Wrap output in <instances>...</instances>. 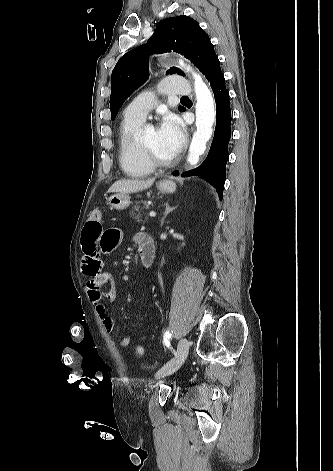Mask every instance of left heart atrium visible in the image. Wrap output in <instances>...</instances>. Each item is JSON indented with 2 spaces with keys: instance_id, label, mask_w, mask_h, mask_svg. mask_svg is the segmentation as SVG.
Masks as SVG:
<instances>
[{
  "instance_id": "39dd6f15",
  "label": "left heart atrium",
  "mask_w": 333,
  "mask_h": 471,
  "mask_svg": "<svg viewBox=\"0 0 333 471\" xmlns=\"http://www.w3.org/2000/svg\"><path fill=\"white\" fill-rule=\"evenodd\" d=\"M158 133L164 149L171 156L178 154L185 142L184 128L179 119L173 114L164 115Z\"/></svg>"
}]
</instances>
